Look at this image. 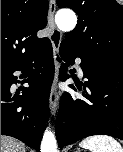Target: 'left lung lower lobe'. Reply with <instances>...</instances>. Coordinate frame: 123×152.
I'll return each mask as SVG.
<instances>
[{
	"label": "left lung lower lobe",
	"instance_id": "0a47b994",
	"mask_svg": "<svg viewBox=\"0 0 123 152\" xmlns=\"http://www.w3.org/2000/svg\"><path fill=\"white\" fill-rule=\"evenodd\" d=\"M60 56L68 64L82 59L81 68L88 79L83 89L77 86L85 100L62 95L56 122V137L60 148L92 135H110L123 140V70L98 65L83 58L62 42ZM69 76L60 69V79ZM74 90L75 87L70 85Z\"/></svg>",
	"mask_w": 123,
	"mask_h": 152
}]
</instances>
